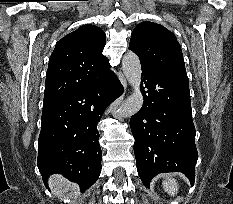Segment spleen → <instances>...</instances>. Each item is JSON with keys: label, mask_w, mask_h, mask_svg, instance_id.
I'll return each instance as SVG.
<instances>
[{"label": "spleen", "mask_w": 233, "mask_h": 204, "mask_svg": "<svg viewBox=\"0 0 233 204\" xmlns=\"http://www.w3.org/2000/svg\"><path fill=\"white\" fill-rule=\"evenodd\" d=\"M164 191L170 195L175 196L178 192V185L175 179L169 177L167 180L162 183Z\"/></svg>", "instance_id": "spleen-1"}]
</instances>
